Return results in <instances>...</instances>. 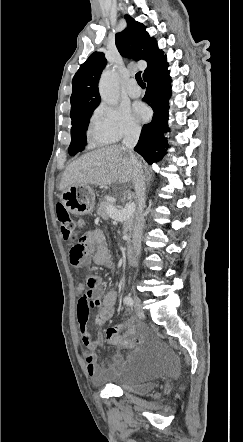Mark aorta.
<instances>
[{
	"label": "aorta",
	"instance_id": "1",
	"mask_svg": "<svg viewBox=\"0 0 243 442\" xmlns=\"http://www.w3.org/2000/svg\"><path fill=\"white\" fill-rule=\"evenodd\" d=\"M99 93L102 100L110 105H116L119 101L118 78L114 71H105L100 78Z\"/></svg>",
	"mask_w": 243,
	"mask_h": 442
}]
</instances>
